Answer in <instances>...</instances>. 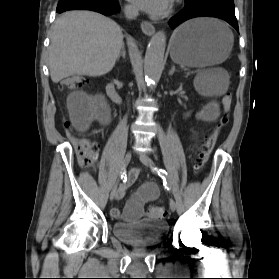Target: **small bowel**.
<instances>
[{"instance_id":"small-bowel-1","label":"small bowel","mask_w":279,"mask_h":279,"mask_svg":"<svg viewBox=\"0 0 279 279\" xmlns=\"http://www.w3.org/2000/svg\"><path fill=\"white\" fill-rule=\"evenodd\" d=\"M68 109L73 124L80 131H86L93 121H98L104 126L111 122L110 111L104 99L99 96H90L83 91H76L69 95ZM218 115V103L212 101L200 111L198 117L204 121H212ZM137 175L138 170L133 169L129 174L127 185L133 183ZM158 196L159 189L156 184L152 182L144 183L127 201L123 212L118 208H113L111 214L115 218L126 220L139 219L143 215L144 204L155 200Z\"/></svg>"}]
</instances>
